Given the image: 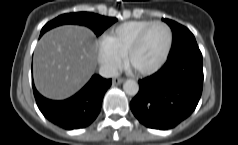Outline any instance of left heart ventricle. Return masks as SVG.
Here are the masks:
<instances>
[{
    "instance_id": "b2bd125f",
    "label": "left heart ventricle",
    "mask_w": 238,
    "mask_h": 145,
    "mask_svg": "<svg viewBox=\"0 0 238 145\" xmlns=\"http://www.w3.org/2000/svg\"><path fill=\"white\" fill-rule=\"evenodd\" d=\"M168 41L167 29L161 25H155L145 35L141 46L130 59V65L134 69H144L155 64L162 56Z\"/></svg>"
}]
</instances>
